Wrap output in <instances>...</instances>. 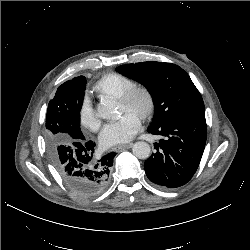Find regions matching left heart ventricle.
<instances>
[{
    "label": "left heart ventricle",
    "instance_id": "1",
    "mask_svg": "<svg viewBox=\"0 0 250 250\" xmlns=\"http://www.w3.org/2000/svg\"><path fill=\"white\" fill-rule=\"evenodd\" d=\"M142 104V101L140 100L138 102V105L140 106ZM120 109H121V112H126V111H130V112H133L135 114L138 115V110L137 108H127L122 102H120Z\"/></svg>",
    "mask_w": 250,
    "mask_h": 250
}]
</instances>
